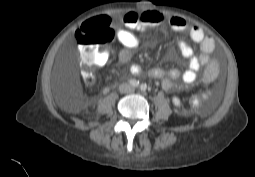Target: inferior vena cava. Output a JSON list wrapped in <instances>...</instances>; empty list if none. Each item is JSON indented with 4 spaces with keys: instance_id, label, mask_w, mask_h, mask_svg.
<instances>
[{
    "instance_id": "inferior-vena-cava-1",
    "label": "inferior vena cava",
    "mask_w": 255,
    "mask_h": 177,
    "mask_svg": "<svg viewBox=\"0 0 255 177\" xmlns=\"http://www.w3.org/2000/svg\"><path fill=\"white\" fill-rule=\"evenodd\" d=\"M120 91L122 93H131L134 91V88L131 85L125 83L120 86Z\"/></svg>"
}]
</instances>
